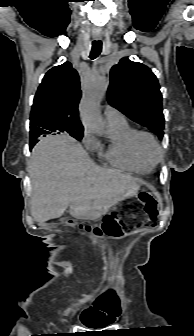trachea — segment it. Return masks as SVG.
Instances as JSON below:
<instances>
[{
  "mask_svg": "<svg viewBox=\"0 0 194 336\" xmlns=\"http://www.w3.org/2000/svg\"><path fill=\"white\" fill-rule=\"evenodd\" d=\"M102 50V42L101 41H93L92 49L90 53V58L93 60L99 56Z\"/></svg>",
  "mask_w": 194,
  "mask_h": 336,
  "instance_id": "3493384b",
  "label": "trachea"
}]
</instances>
